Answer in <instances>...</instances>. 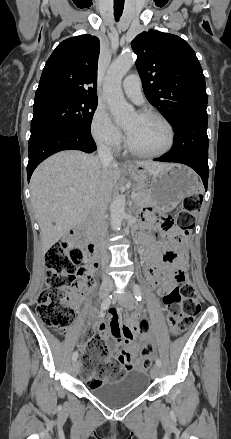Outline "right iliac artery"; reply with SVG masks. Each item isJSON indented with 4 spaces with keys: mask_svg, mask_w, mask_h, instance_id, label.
Segmentation results:
<instances>
[{
    "mask_svg": "<svg viewBox=\"0 0 231 439\" xmlns=\"http://www.w3.org/2000/svg\"><path fill=\"white\" fill-rule=\"evenodd\" d=\"M111 298H112V296L106 298V299L102 302V304H101V310H102V311H103V310H106V309L109 307L110 302H111ZM77 358H78V352L75 351V352L73 353V355H72V360H73V361H76Z\"/></svg>",
    "mask_w": 231,
    "mask_h": 439,
    "instance_id": "1",
    "label": "right iliac artery"
}]
</instances>
